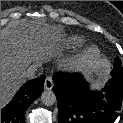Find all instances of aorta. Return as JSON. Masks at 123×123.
Wrapping results in <instances>:
<instances>
[{"mask_svg": "<svg viewBox=\"0 0 123 123\" xmlns=\"http://www.w3.org/2000/svg\"><path fill=\"white\" fill-rule=\"evenodd\" d=\"M41 101L46 106H52L56 103V96L50 90H45L41 94Z\"/></svg>", "mask_w": 123, "mask_h": 123, "instance_id": "aorta-1", "label": "aorta"}]
</instances>
